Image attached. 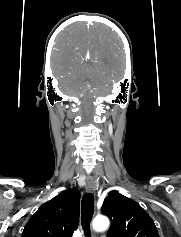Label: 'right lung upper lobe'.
<instances>
[{"instance_id": "1", "label": "right lung upper lobe", "mask_w": 181, "mask_h": 237, "mask_svg": "<svg viewBox=\"0 0 181 237\" xmlns=\"http://www.w3.org/2000/svg\"><path fill=\"white\" fill-rule=\"evenodd\" d=\"M79 215L80 192L67 189L39 207L25 225L22 237H72Z\"/></svg>"}]
</instances>
